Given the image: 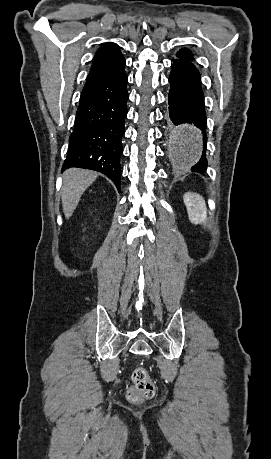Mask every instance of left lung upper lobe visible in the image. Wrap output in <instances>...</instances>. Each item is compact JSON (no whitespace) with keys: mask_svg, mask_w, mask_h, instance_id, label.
Segmentation results:
<instances>
[{"mask_svg":"<svg viewBox=\"0 0 271 459\" xmlns=\"http://www.w3.org/2000/svg\"><path fill=\"white\" fill-rule=\"evenodd\" d=\"M176 56L181 59L194 61L192 52L187 49H181L179 52H177Z\"/></svg>","mask_w":271,"mask_h":459,"instance_id":"1","label":"left lung upper lobe"}]
</instances>
